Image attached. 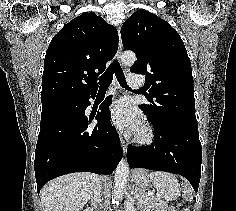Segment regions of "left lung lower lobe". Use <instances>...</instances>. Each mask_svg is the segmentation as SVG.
Wrapping results in <instances>:
<instances>
[{
    "mask_svg": "<svg viewBox=\"0 0 236 211\" xmlns=\"http://www.w3.org/2000/svg\"><path fill=\"white\" fill-rule=\"evenodd\" d=\"M150 122L155 128V142L149 147H128L127 159L130 168H146L182 175L197 192L202 159L198 126Z\"/></svg>",
    "mask_w": 236,
    "mask_h": 211,
    "instance_id": "obj_1",
    "label": "left lung lower lobe"
}]
</instances>
